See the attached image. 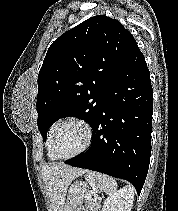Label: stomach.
Instances as JSON below:
<instances>
[{
	"label": "stomach",
	"instance_id": "obj_1",
	"mask_svg": "<svg viewBox=\"0 0 178 211\" xmlns=\"http://www.w3.org/2000/svg\"><path fill=\"white\" fill-rule=\"evenodd\" d=\"M89 191L88 184L83 181H77L71 185L67 195V201L63 211H75L84 202L85 196Z\"/></svg>",
	"mask_w": 178,
	"mask_h": 211
}]
</instances>
